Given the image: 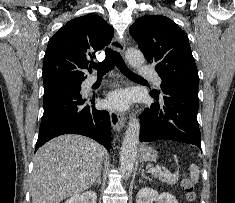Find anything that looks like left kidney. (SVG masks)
I'll return each instance as SVG.
<instances>
[{
	"label": "left kidney",
	"instance_id": "5707ae66",
	"mask_svg": "<svg viewBox=\"0 0 235 203\" xmlns=\"http://www.w3.org/2000/svg\"><path fill=\"white\" fill-rule=\"evenodd\" d=\"M137 203H178L176 198L168 193L162 192L158 194V192L152 188H141L137 194L136 198Z\"/></svg>",
	"mask_w": 235,
	"mask_h": 203
}]
</instances>
